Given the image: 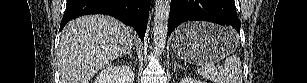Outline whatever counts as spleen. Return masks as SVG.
I'll return each mask as SVG.
<instances>
[{
    "label": "spleen",
    "mask_w": 307,
    "mask_h": 83,
    "mask_svg": "<svg viewBox=\"0 0 307 83\" xmlns=\"http://www.w3.org/2000/svg\"><path fill=\"white\" fill-rule=\"evenodd\" d=\"M199 74L214 83H243L241 62L238 56L225 59L224 68H217L211 62L200 65Z\"/></svg>",
    "instance_id": "spleen-1"
}]
</instances>
